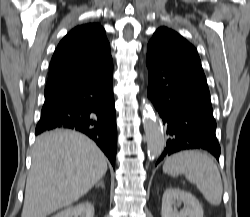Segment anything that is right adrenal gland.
<instances>
[{
  "label": "right adrenal gland",
  "mask_w": 250,
  "mask_h": 217,
  "mask_svg": "<svg viewBox=\"0 0 250 217\" xmlns=\"http://www.w3.org/2000/svg\"><path fill=\"white\" fill-rule=\"evenodd\" d=\"M96 186H101V188H105V185H104V181H100L98 184H96Z\"/></svg>",
  "instance_id": "1"
}]
</instances>
